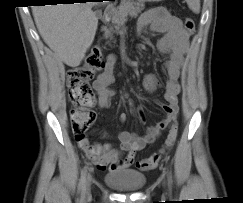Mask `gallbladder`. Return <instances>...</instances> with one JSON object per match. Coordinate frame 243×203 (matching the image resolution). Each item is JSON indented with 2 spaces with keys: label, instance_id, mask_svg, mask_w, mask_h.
Segmentation results:
<instances>
[{
  "label": "gallbladder",
  "instance_id": "1",
  "mask_svg": "<svg viewBox=\"0 0 243 203\" xmlns=\"http://www.w3.org/2000/svg\"><path fill=\"white\" fill-rule=\"evenodd\" d=\"M95 15L99 19V18H101L102 13H101V11L97 10V11H95Z\"/></svg>",
  "mask_w": 243,
  "mask_h": 203
}]
</instances>
